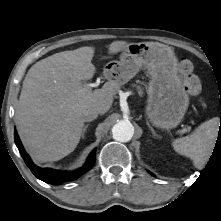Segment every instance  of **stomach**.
<instances>
[{
  "label": "stomach",
  "instance_id": "stomach-1",
  "mask_svg": "<svg viewBox=\"0 0 221 221\" xmlns=\"http://www.w3.org/2000/svg\"><path fill=\"white\" fill-rule=\"evenodd\" d=\"M140 69L150 76L147 118L156 127L175 128L187 111L189 96L178 75V59L173 49L158 42L131 43L122 50L119 61L105 65L104 73L112 81L124 84Z\"/></svg>",
  "mask_w": 221,
  "mask_h": 221
}]
</instances>
